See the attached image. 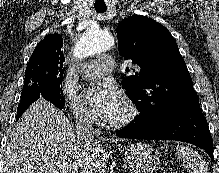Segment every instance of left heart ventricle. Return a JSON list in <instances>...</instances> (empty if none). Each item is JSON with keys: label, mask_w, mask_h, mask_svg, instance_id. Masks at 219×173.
I'll use <instances>...</instances> for the list:
<instances>
[{"label": "left heart ventricle", "mask_w": 219, "mask_h": 173, "mask_svg": "<svg viewBox=\"0 0 219 173\" xmlns=\"http://www.w3.org/2000/svg\"><path fill=\"white\" fill-rule=\"evenodd\" d=\"M125 113H126V108L123 102L121 101L117 109L113 112V114L109 118V120L121 118Z\"/></svg>", "instance_id": "b2bd125f"}]
</instances>
